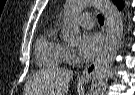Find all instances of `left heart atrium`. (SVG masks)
<instances>
[{
	"label": "left heart atrium",
	"mask_w": 135,
	"mask_h": 95,
	"mask_svg": "<svg viewBox=\"0 0 135 95\" xmlns=\"http://www.w3.org/2000/svg\"><path fill=\"white\" fill-rule=\"evenodd\" d=\"M102 46V38L98 33H85L79 43V53L85 60L94 58Z\"/></svg>",
	"instance_id": "39dd6f15"
}]
</instances>
